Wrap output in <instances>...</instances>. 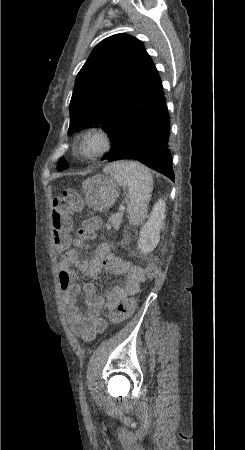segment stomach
<instances>
[{
    "mask_svg": "<svg viewBox=\"0 0 245 450\" xmlns=\"http://www.w3.org/2000/svg\"><path fill=\"white\" fill-rule=\"evenodd\" d=\"M86 203L95 211L111 208L119 196V186L111 175L97 174L82 183Z\"/></svg>",
    "mask_w": 245,
    "mask_h": 450,
    "instance_id": "stomach-1",
    "label": "stomach"
}]
</instances>
